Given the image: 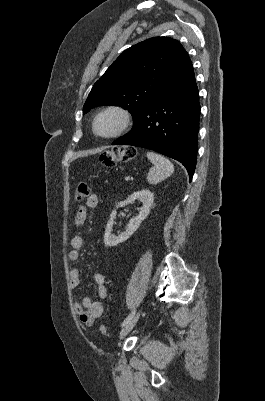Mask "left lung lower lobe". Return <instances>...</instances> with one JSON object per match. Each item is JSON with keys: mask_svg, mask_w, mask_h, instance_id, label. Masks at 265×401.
Instances as JSON below:
<instances>
[{"mask_svg": "<svg viewBox=\"0 0 265 401\" xmlns=\"http://www.w3.org/2000/svg\"><path fill=\"white\" fill-rule=\"evenodd\" d=\"M200 103L193 66L184 71L134 122L129 133L112 145L154 150L181 162L190 181L195 171Z\"/></svg>", "mask_w": 265, "mask_h": 401, "instance_id": "0a47b994", "label": "left lung lower lobe"}]
</instances>
